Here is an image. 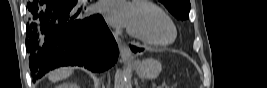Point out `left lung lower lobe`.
I'll use <instances>...</instances> for the list:
<instances>
[{
	"label": "left lung lower lobe",
	"mask_w": 267,
	"mask_h": 88,
	"mask_svg": "<svg viewBox=\"0 0 267 88\" xmlns=\"http://www.w3.org/2000/svg\"><path fill=\"white\" fill-rule=\"evenodd\" d=\"M130 48H131V50H132L133 52H140V51L143 50V49H141V48H137V47H135V46H130Z\"/></svg>",
	"instance_id": "obj_1"
}]
</instances>
